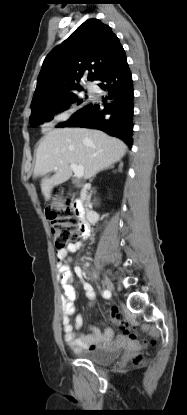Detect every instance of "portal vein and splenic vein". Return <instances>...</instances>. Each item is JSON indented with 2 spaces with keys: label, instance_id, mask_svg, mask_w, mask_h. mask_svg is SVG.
<instances>
[{
  "label": "portal vein and splenic vein",
  "instance_id": "1",
  "mask_svg": "<svg viewBox=\"0 0 187 415\" xmlns=\"http://www.w3.org/2000/svg\"><path fill=\"white\" fill-rule=\"evenodd\" d=\"M70 168L73 170L77 178H82L84 175V167L82 165L71 164ZM54 170H57V167H54Z\"/></svg>",
  "mask_w": 187,
  "mask_h": 415
}]
</instances>
